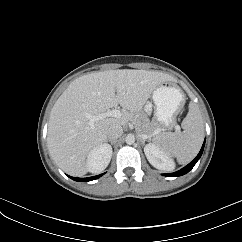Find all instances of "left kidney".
Wrapping results in <instances>:
<instances>
[{
  "instance_id": "left-kidney-1",
  "label": "left kidney",
  "mask_w": 242,
  "mask_h": 242,
  "mask_svg": "<svg viewBox=\"0 0 242 242\" xmlns=\"http://www.w3.org/2000/svg\"><path fill=\"white\" fill-rule=\"evenodd\" d=\"M144 153L149 163L159 170L171 171L175 167L174 161L155 144H147Z\"/></svg>"
}]
</instances>
